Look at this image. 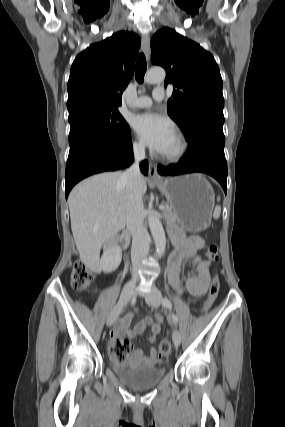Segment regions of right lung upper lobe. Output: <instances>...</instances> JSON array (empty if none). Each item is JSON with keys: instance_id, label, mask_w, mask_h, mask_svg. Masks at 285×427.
<instances>
[{"instance_id": "cb5924a9", "label": "right lung upper lobe", "mask_w": 285, "mask_h": 427, "mask_svg": "<svg viewBox=\"0 0 285 427\" xmlns=\"http://www.w3.org/2000/svg\"><path fill=\"white\" fill-rule=\"evenodd\" d=\"M140 38L120 31L74 60L67 85L69 115L88 107H117L134 73Z\"/></svg>"}]
</instances>
